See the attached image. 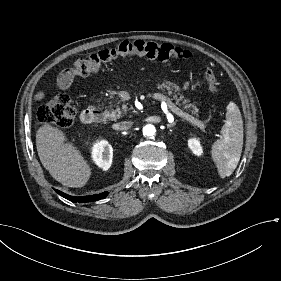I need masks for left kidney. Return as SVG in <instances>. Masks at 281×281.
Instances as JSON below:
<instances>
[{"label":"left kidney","instance_id":"left-kidney-1","mask_svg":"<svg viewBox=\"0 0 281 281\" xmlns=\"http://www.w3.org/2000/svg\"><path fill=\"white\" fill-rule=\"evenodd\" d=\"M188 147L197 156H200L203 154V148L200 144L199 138L193 137V138L188 139Z\"/></svg>","mask_w":281,"mask_h":281}]
</instances>
